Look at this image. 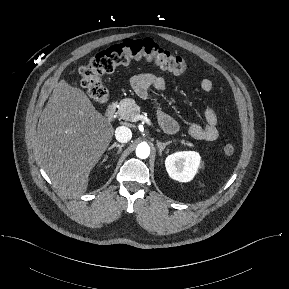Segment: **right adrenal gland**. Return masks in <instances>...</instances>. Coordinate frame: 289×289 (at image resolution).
Returning a JSON list of instances; mask_svg holds the SVG:
<instances>
[{"instance_id": "2a0ac1e0", "label": "right adrenal gland", "mask_w": 289, "mask_h": 289, "mask_svg": "<svg viewBox=\"0 0 289 289\" xmlns=\"http://www.w3.org/2000/svg\"><path fill=\"white\" fill-rule=\"evenodd\" d=\"M117 147L118 148V154H120L121 150H122V147H124V144H118V143H113L109 148L108 150L111 151L113 148ZM111 166V165H109ZM108 166V167H109Z\"/></svg>"}]
</instances>
